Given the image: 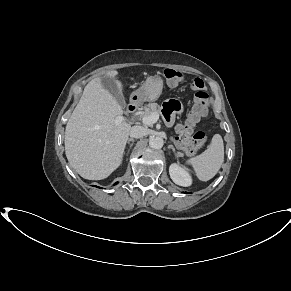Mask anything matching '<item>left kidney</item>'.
<instances>
[{"instance_id":"left-kidney-1","label":"left kidney","mask_w":291,"mask_h":291,"mask_svg":"<svg viewBox=\"0 0 291 291\" xmlns=\"http://www.w3.org/2000/svg\"><path fill=\"white\" fill-rule=\"evenodd\" d=\"M169 174L173 182L177 185L188 187L192 184V178L189 172L176 163L170 165Z\"/></svg>"}]
</instances>
